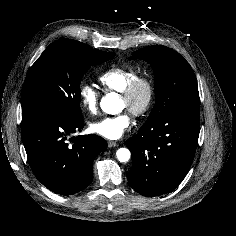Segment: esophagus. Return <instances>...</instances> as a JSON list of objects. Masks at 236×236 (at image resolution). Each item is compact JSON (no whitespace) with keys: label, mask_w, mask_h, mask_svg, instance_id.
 I'll return each instance as SVG.
<instances>
[{"label":"esophagus","mask_w":236,"mask_h":236,"mask_svg":"<svg viewBox=\"0 0 236 236\" xmlns=\"http://www.w3.org/2000/svg\"><path fill=\"white\" fill-rule=\"evenodd\" d=\"M116 146H117V143L115 141H111V140L108 141V147L112 148Z\"/></svg>","instance_id":"34e87169"}]
</instances>
